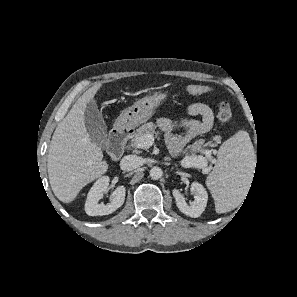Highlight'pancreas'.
<instances>
[{"mask_svg": "<svg viewBox=\"0 0 297 297\" xmlns=\"http://www.w3.org/2000/svg\"><path fill=\"white\" fill-rule=\"evenodd\" d=\"M156 129V125L153 122L145 123L144 125L140 126L135 133L132 135V145L137 146V140L144 136L145 134H154ZM200 151L203 152L201 147L195 148L191 152V157H195V152Z\"/></svg>", "mask_w": 297, "mask_h": 297, "instance_id": "1", "label": "pancreas"}]
</instances>
